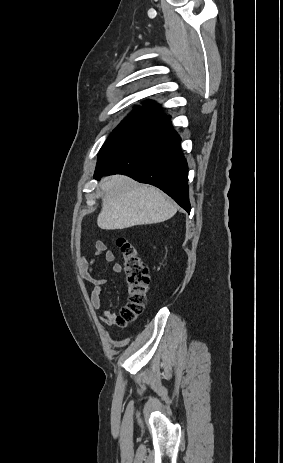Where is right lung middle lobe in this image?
I'll return each mask as SVG.
<instances>
[{"mask_svg": "<svg viewBox=\"0 0 283 463\" xmlns=\"http://www.w3.org/2000/svg\"><path fill=\"white\" fill-rule=\"evenodd\" d=\"M161 116L162 114L156 110L147 107H137L135 111L125 118L112 132L100 151H103L126 135L149 125Z\"/></svg>", "mask_w": 283, "mask_h": 463, "instance_id": "right-lung-middle-lobe-1", "label": "right lung middle lobe"}]
</instances>
